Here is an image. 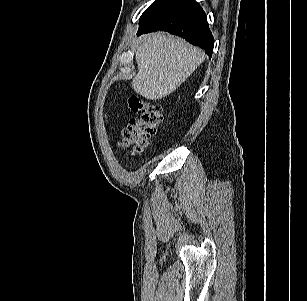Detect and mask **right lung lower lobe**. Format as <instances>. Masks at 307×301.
I'll return each mask as SVG.
<instances>
[{
    "instance_id": "right-lung-lower-lobe-1",
    "label": "right lung lower lobe",
    "mask_w": 307,
    "mask_h": 301,
    "mask_svg": "<svg viewBox=\"0 0 307 301\" xmlns=\"http://www.w3.org/2000/svg\"><path fill=\"white\" fill-rule=\"evenodd\" d=\"M168 31L206 50L212 56L214 38L206 15L195 0H168L157 10L141 19L137 35Z\"/></svg>"
}]
</instances>
